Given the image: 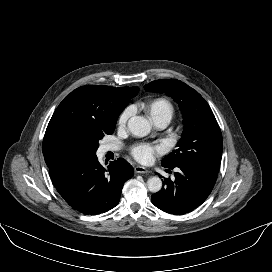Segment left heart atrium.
Returning <instances> with one entry per match:
<instances>
[{"label": "left heart atrium", "mask_w": 272, "mask_h": 272, "mask_svg": "<svg viewBox=\"0 0 272 272\" xmlns=\"http://www.w3.org/2000/svg\"><path fill=\"white\" fill-rule=\"evenodd\" d=\"M160 149L155 146L148 144H139L132 148V156L139 162L146 163L149 162L154 154L158 153Z\"/></svg>", "instance_id": "1"}]
</instances>
